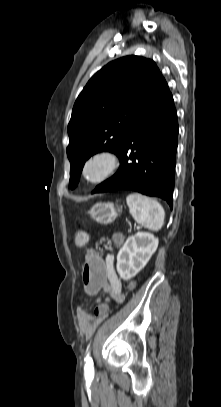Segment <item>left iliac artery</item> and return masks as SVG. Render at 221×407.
Returning <instances> with one entry per match:
<instances>
[{
  "label": "left iliac artery",
  "mask_w": 221,
  "mask_h": 407,
  "mask_svg": "<svg viewBox=\"0 0 221 407\" xmlns=\"http://www.w3.org/2000/svg\"><path fill=\"white\" fill-rule=\"evenodd\" d=\"M85 377L86 378H91L94 376V366H93V360L90 356V350L87 352V355L85 357Z\"/></svg>",
  "instance_id": "left-iliac-artery-1"
}]
</instances>
